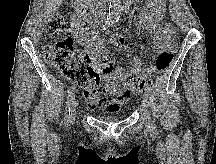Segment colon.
I'll use <instances>...</instances> for the list:
<instances>
[{
  "label": "colon",
  "mask_w": 216,
  "mask_h": 164,
  "mask_svg": "<svg viewBox=\"0 0 216 164\" xmlns=\"http://www.w3.org/2000/svg\"><path fill=\"white\" fill-rule=\"evenodd\" d=\"M76 26L77 23L72 15L58 13L53 16L48 22V30L54 42L46 47L45 57L62 76L84 90H93L99 87L104 68L89 62H79L70 36ZM167 43V47L157 55L155 65L152 68H144L132 78L130 85L132 93H141L147 78L152 73L163 72L171 65L175 51L173 31L169 32Z\"/></svg>",
  "instance_id": "5ec220e1"
}]
</instances>
